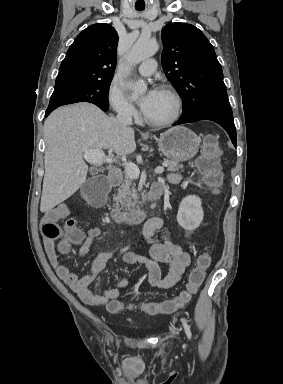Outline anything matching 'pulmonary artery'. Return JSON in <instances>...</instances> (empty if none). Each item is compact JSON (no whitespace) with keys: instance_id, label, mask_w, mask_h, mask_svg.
I'll use <instances>...</instances> for the list:
<instances>
[{"instance_id":"1","label":"pulmonary artery","mask_w":283,"mask_h":384,"mask_svg":"<svg viewBox=\"0 0 283 384\" xmlns=\"http://www.w3.org/2000/svg\"><path fill=\"white\" fill-rule=\"evenodd\" d=\"M156 66V61H145L138 65L137 72L143 76H150L156 70Z\"/></svg>"}]
</instances>
